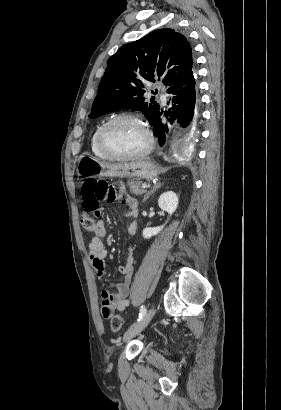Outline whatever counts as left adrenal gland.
<instances>
[{
	"label": "left adrenal gland",
	"mask_w": 281,
	"mask_h": 410,
	"mask_svg": "<svg viewBox=\"0 0 281 410\" xmlns=\"http://www.w3.org/2000/svg\"><path fill=\"white\" fill-rule=\"evenodd\" d=\"M162 186V183H155L153 188L144 196L143 202H145L154 192Z\"/></svg>",
	"instance_id": "left-adrenal-gland-1"
}]
</instances>
